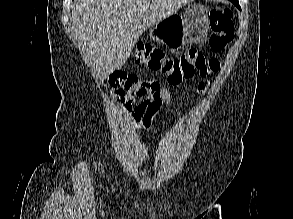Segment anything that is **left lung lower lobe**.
<instances>
[{
  "label": "left lung lower lobe",
  "mask_w": 293,
  "mask_h": 219,
  "mask_svg": "<svg viewBox=\"0 0 293 219\" xmlns=\"http://www.w3.org/2000/svg\"><path fill=\"white\" fill-rule=\"evenodd\" d=\"M236 6L240 9L239 5H236Z\"/></svg>",
  "instance_id": "1"
}]
</instances>
